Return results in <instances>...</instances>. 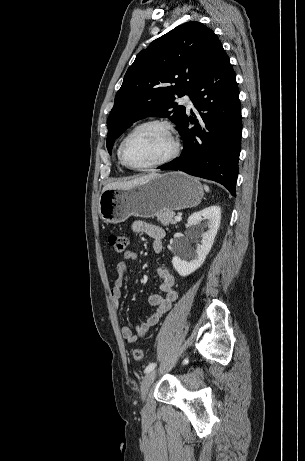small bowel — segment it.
Listing matches in <instances>:
<instances>
[{"mask_svg":"<svg viewBox=\"0 0 305 461\" xmlns=\"http://www.w3.org/2000/svg\"><path fill=\"white\" fill-rule=\"evenodd\" d=\"M132 229L136 233H144L152 238V249L156 254L163 250V239L165 231L152 223L137 220L133 223ZM138 258V253L134 250H127L124 253L123 260L116 265L117 278L111 289V299L115 309L119 308V301L122 295L123 279L127 272V261H134ZM157 275L161 280L159 285L160 293H151L148 296V302L156 306V310L149 318L139 324L135 331L129 327L122 328L121 333L124 340L134 344L139 338L146 335L149 329L156 325L159 320L172 308L173 303L178 299V292L175 289V278L167 267L161 266L157 269Z\"/></svg>","mask_w":305,"mask_h":461,"instance_id":"small-bowel-1","label":"small bowel"}]
</instances>
